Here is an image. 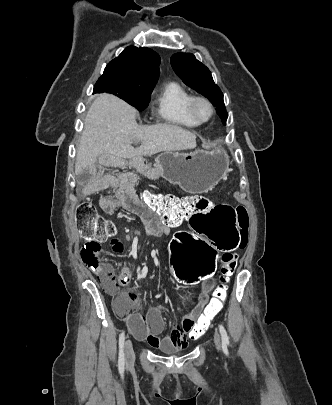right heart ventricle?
<instances>
[{
	"mask_svg": "<svg viewBox=\"0 0 332 405\" xmlns=\"http://www.w3.org/2000/svg\"><path fill=\"white\" fill-rule=\"evenodd\" d=\"M192 94L177 82L163 85L156 93L154 104L157 118L165 123L197 127L196 122L187 111V103Z\"/></svg>",
	"mask_w": 332,
	"mask_h": 405,
	"instance_id": "right-heart-ventricle-1",
	"label": "right heart ventricle"
}]
</instances>
